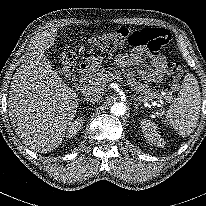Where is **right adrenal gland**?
I'll return each instance as SVG.
<instances>
[{
	"label": "right adrenal gland",
	"mask_w": 206,
	"mask_h": 206,
	"mask_svg": "<svg viewBox=\"0 0 206 206\" xmlns=\"http://www.w3.org/2000/svg\"><path fill=\"white\" fill-rule=\"evenodd\" d=\"M82 102H83V104L85 103V102H90L88 99H86V98H84L83 100H82ZM91 104H92V106L94 105V103L93 102H90Z\"/></svg>",
	"instance_id": "1"
}]
</instances>
